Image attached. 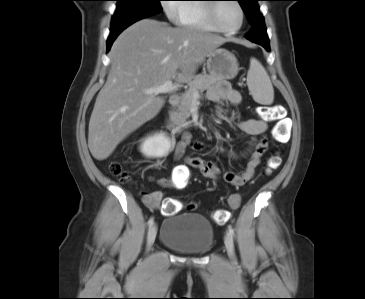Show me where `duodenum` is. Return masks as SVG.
Listing matches in <instances>:
<instances>
[{
    "mask_svg": "<svg viewBox=\"0 0 365 299\" xmlns=\"http://www.w3.org/2000/svg\"><path fill=\"white\" fill-rule=\"evenodd\" d=\"M180 101V94L178 93H174L172 95L169 96V99H168V103L170 106H176L178 105ZM167 125L170 127V128H178L179 127V124L172 121L170 118H167Z\"/></svg>",
    "mask_w": 365,
    "mask_h": 299,
    "instance_id": "410a0bca",
    "label": "duodenum"
}]
</instances>
